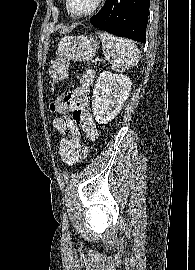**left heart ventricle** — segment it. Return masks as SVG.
<instances>
[{"label":"left heart ventricle","mask_w":195,"mask_h":270,"mask_svg":"<svg viewBox=\"0 0 195 270\" xmlns=\"http://www.w3.org/2000/svg\"><path fill=\"white\" fill-rule=\"evenodd\" d=\"M97 0H70V8L76 14H84L91 10Z\"/></svg>","instance_id":"1"}]
</instances>
